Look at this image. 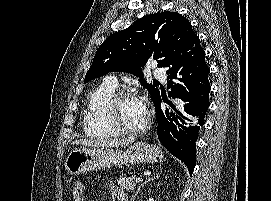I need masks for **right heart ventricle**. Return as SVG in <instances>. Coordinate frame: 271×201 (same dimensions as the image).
<instances>
[{
    "label": "right heart ventricle",
    "mask_w": 271,
    "mask_h": 201,
    "mask_svg": "<svg viewBox=\"0 0 271 201\" xmlns=\"http://www.w3.org/2000/svg\"><path fill=\"white\" fill-rule=\"evenodd\" d=\"M114 91V88L102 85L90 94L83 114V127L87 136L111 139L120 135L106 113V105Z\"/></svg>",
    "instance_id": "1"
}]
</instances>
